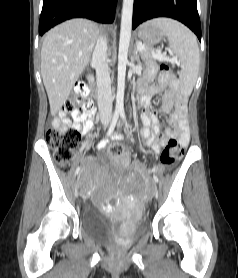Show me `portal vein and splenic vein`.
<instances>
[{
    "label": "portal vein and splenic vein",
    "mask_w": 238,
    "mask_h": 278,
    "mask_svg": "<svg viewBox=\"0 0 238 278\" xmlns=\"http://www.w3.org/2000/svg\"><path fill=\"white\" fill-rule=\"evenodd\" d=\"M137 48H138V50H141V51L145 50V47L142 44H138ZM153 56L157 60H166V61H171V62H174V63H176L178 61L177 57L169 58V57L166 56L165 53L162 54L159 51L157 53H153Z\"/></svg>",
    "instance_id": "18ae733b"
}]
</instances>
